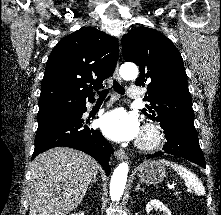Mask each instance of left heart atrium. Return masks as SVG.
<instances>
[{
    "label": "left heart atrium",
    "mask_w": 221,
    "mask_h": 215,
    "mask_svg": "<svg viewBox=\"0 0 221 215\" xmlns=\"http://www.w3.org/2000/svg\"><path fill=\"white\" fill-rule=\"evenodd\" d=\"M99 126L108 138L115 141H129L139 134L137 117L122 108L114 109L103 115Z\"/></svg>",
    "instance_id": "left-heart-atrium-1"
}]
</instances>
